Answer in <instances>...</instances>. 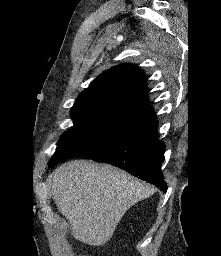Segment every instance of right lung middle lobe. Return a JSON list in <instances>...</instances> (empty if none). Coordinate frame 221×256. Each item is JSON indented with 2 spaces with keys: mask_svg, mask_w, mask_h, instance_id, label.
<instances>
[{
  "mask_svg": "<svg viewBox=\"0 0 221 256\" xmlns=\"http://www.w3.org/2000/svg\"><path fill=\"white\" fill-rule=\"evenodd\" d=\"M75 120L66 131L48 166L53 167L74 157H82L107 140L145 123L144 116H133L115 108L71 111Z\"/></svg>",
  "mask_w": 221,
  "mask_h": 256,
  "instance_id": "1",
  "label": "right lung middle lobe"
}]
</instances>
